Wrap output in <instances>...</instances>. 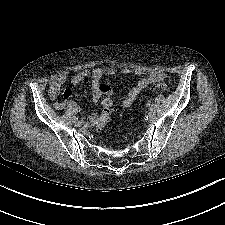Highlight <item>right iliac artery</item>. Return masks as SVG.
<instances>
[{
  "mask_svg": "<svg viewBox=\"0 0 225 225\" xmlns=\"http://www.w3.org/2000/svg\"><path fill=\"white\" fill-rule=\"evenodd\" d=\"M74 120L76 121V120H78V118H77V117H75V118H74Z\"/></svg>",
  "mask_w": 225,
  "mask_h": 225,
  "instance_id": "1",
  "label": "right iliac artery"
}]
</instances>
